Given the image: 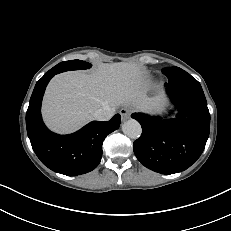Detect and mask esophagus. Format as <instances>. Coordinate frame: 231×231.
I'll list each match as a JSON object with an SVG mask.
<instances>
[{
    "mask_svg": "<svg viewBox=\"0 0 231 231\" xmlns=\"http://www.w3.org/2000/svg\"><path fill=\"white\" fill-rule=\"evenodd\" d=\"M132 109L130 107H123L120 109L119 113L123 120H127L130 118Z\"/></svg>",
    "mask_w": 231,
    "mask_h": 231,
    "instance_id": "obj_1",
    "label": "esophagus"
}]
</instances>
